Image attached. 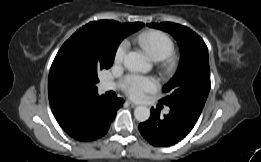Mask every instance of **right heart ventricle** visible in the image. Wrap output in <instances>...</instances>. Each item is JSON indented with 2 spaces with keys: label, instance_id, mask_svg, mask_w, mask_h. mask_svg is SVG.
Returning a JSON list of instances; mask_svg holds the SVG:
<instances>
[{
  "label": "right heart ventricle",
  "instance_id": "1",
  "mask_svg": "<svg viewBox=\"0 0 261 162\" xmlns=\"http://www.w3.org/2000/svg\"><path fill=\"white\" fill-rule=\"evenodd\" d=\"M135 41L145 49L155 61L169 57L174 51L172 38L159 30H150L139 34Z\"/></svg>",
  "mask_w": 261,
  "mask_h": 162
}]
</instances>
